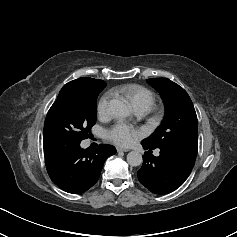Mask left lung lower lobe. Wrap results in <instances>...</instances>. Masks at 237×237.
Listing matches in <instances>:
<instances>
[{
    "mask_svg": "<svg viewBox=\"0 0 237 237\" xmlns=\"http://www.w3.org/2000/svg\"><path fill=\"white\" fill-rule=\"evenodd\" d=\"M145 150L143 165L138 171L139 181L151 192L167 194L188 178L194 166L197 149L165 148L160 155H152V148L142 142Z\"/></svg>",
    "mask_w": 237,
    "mask_h": 237,
    "instance_id": "left-lung-lower-lobe-1",
    "label": "left lung lower lobe"
}]
</instances>
